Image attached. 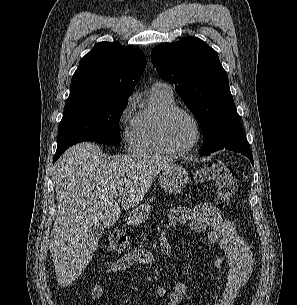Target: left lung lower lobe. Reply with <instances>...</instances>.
<instances>
[{"label": "left lung lower lobe", "instance_id": "1", "mask_svg": "<svg viewBox=\"0 0 297 305\" xmlns=\"http://www.w3.org/2000/svg\"><path fill=\"white\" fill-rule=\"evenodd\" d=\"M223 149H227V150H231V151H234V152H237V153H241V154L247 156L250 159L251 163L254 164L253 163L252 152H251L249 146L224 147ZM200 155L204 156L203 154H200Z\"/></svg>", "mask_w": 297, "mask_h": 305}]
</instances>
